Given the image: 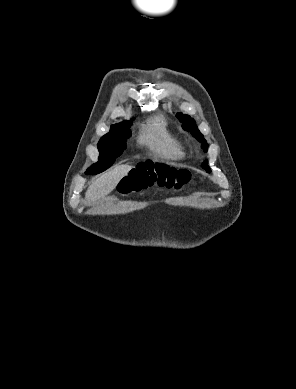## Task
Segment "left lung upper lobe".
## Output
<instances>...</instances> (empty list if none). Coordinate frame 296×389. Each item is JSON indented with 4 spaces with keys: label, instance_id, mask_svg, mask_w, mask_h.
Listing matches in <instances>:
<instances>
[{
    "label": "left lung upper lobe",
    "instance_id": "1",
    "mask_svg": "<svg viewBox=\"0 0 296 389\" xmlns=\"http://www.w3.org/2000/svg\"><path fill=\"white\" fill-rule=\"evenodd\" d=\"M177 118L183 123L182 127L184 130L190 132L198 141H200L203 145L202 148L207 151L208 144L206 143V140L204 139L203 135L200 133L196 126V122L191 119L188 115H183L182 113H177ZM202 167L207 171L210 172V168L208 167V162L205 161L202 164Z\"/></svg>",
    "mask_w": 296,
    "mask_h": 389
}]
</instances>
